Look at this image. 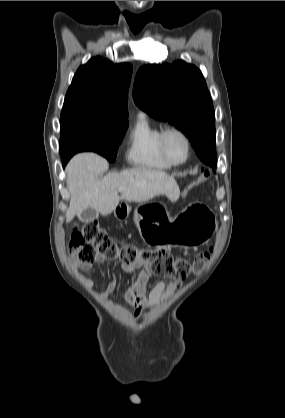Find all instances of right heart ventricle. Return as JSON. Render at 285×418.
<instances>
[{
  "label": "right heart ventricle",
  "mask_w": 285,
  "mask_h": 418,
  "mask_svg": "<svg viewBox=\"0 0 285 418\" xmlns=\"http://www.w3.org/2000/svg\"><path fill=\"white\" fill-rule=\"evenodd\" d=\"M161 129L140 116L127 136L126 159L134 167L164 170L171 165L162 156L157 138Z\"/></svg>",
  "instance_id": "e07e8e85"
}]
</instances>
